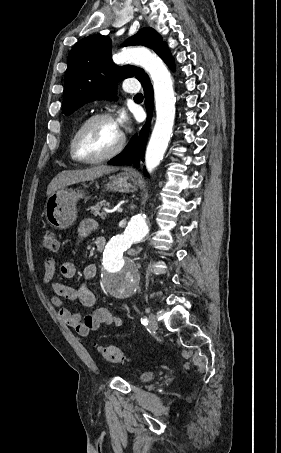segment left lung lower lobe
<instances>
[{
    "label": "left lung lower lobe",
    "mask_w": 281,
    "mask_h": 453,
    "mask_svg": "<svg viewBox=\"0 0 281 453\" xmlns=\"http://www.w3.org/2000/svg\"><path fill=\"white\" fill-rule=\"evenodd\" d=\"M160 57L169 67L173 68V60L167 45H165V47L163 48ZM141 82L144 88L145 104L148 112L147 122L141 129L139 136H134L127 147L123 150V152L108 162L109 165H124L129 161L134 162L138 167L140 158L143 160L153 112V88L148 75L145 76ZM144 173L146 176H148L146 170H144Z\"/></svg>",
    "instance_id": "0a47b994"
}]
</instances>
